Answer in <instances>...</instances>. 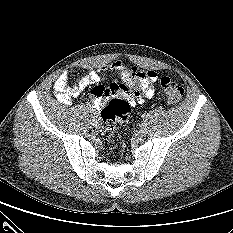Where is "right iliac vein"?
I'll return each mask as SVG.
<instances>
[{
  "label": "right iliac vein",
  "mask_w": 233,
  "mask_h": 233,
  "mask_svg": "<svg viewBox=\"0 0 233 233\" xmlns=\"http://www.w3.org/2000/svg\"><path fill=\"white\" fill-rule=\"evenodd\" d=\"M92 123L95 127L99 126V119L97 118V116L93 118Z\"/></svg>",
  "instance_id": "63e3f726"
}]
</instances>
